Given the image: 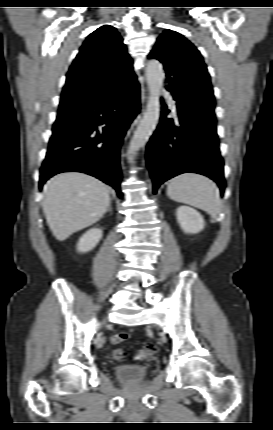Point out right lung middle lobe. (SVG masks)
Segmentation results:
<instances>
[{
  "instance_id": "right-lung-middle-lobe-1",
  "label": "right lung middle lobe",
  "mask_w": 273,
  "mask_h": 430,
  "mask_svg": "<svg viewBox=\"0 0 273 430\" xmlns=\"http://www.w3.org/2000/svg\"><path fill=\"white\" fill-rule=\"evenodd\" d=\"M80 106L59 107L58 117L53 125V133L78 126L86 115Z\"/></svg>"
}]
</instances>
